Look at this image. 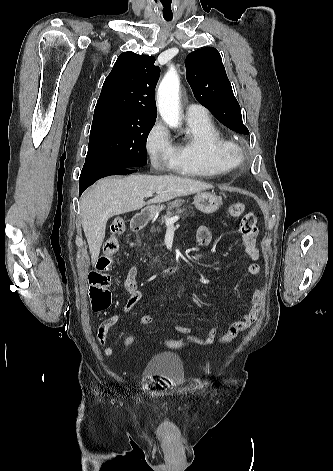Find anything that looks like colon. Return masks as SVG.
Here are the masks:
<instances>
[{
	"mask_svg": "<svg viewBox=\"0 0 333 471\" xmlns=\"http://www.w3.org/2000/svg\"><path fill=\"white\" fill-rule=\"evenodd\" d=\"M245 205L242 202L233 203L228 208L231 217H238L243 214ZM125 230V222L121 217L115 218L110 226V235L103 246V253L98 259L95 269L89 274V298L94 311L107 310L111 305V292L109 286L111 277L109 270L113 259L119 250V236ZM136 343V337L129 335L125 337L123 344L125 347H132ZM164 344L171 349H181L185 342L180 339H168Z\"/></svg>",
	"mask_w": 333,
	"mask_h": 471,
	"instance_id": "1",
	"label": "colon"
}]
</instances>
